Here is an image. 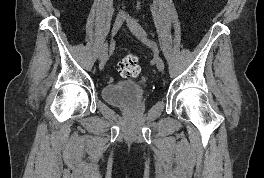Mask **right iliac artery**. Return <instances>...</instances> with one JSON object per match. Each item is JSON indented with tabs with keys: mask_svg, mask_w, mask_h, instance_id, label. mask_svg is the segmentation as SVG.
Returning a JSON list of instances; mask_svg holds the SVG:
<instances>
[{
	"mask_svg": "<svg viewBox=\"0 0 264 178\" xmlns=\"http://www.w3.org/2000/svg\"><path fill=\"white\" fill-rule=\"evenodd\" d=\"M107 50H108V44L106 43L102 48L100 58H102L106 54Z\"/></svg>",
	"mask_w": 264,
	"mask_h": 178,
	"instance_id": "right-iliac-artery-1",
	"label": "right iliac artery"
}]
</instances>
